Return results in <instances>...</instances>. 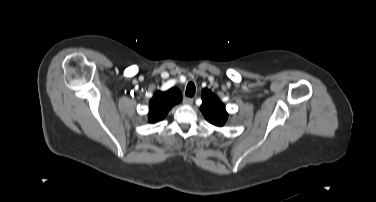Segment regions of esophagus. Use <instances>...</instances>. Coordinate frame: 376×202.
<instances>
[{"mask_svg":"<svg viewBox=\"0 0 376 202\" xmlns=\"http://www.w3.org/2000/svg\"><path fill=\"white\" fill-rule=\"evenodd\" d=\"M183 103L186 105H191L193 103V98L183 97Z\"/></svg>","mask_w":376,"mask_h":202,"instance_id":"34e87169","label":"esophagus"}]
</instances>
